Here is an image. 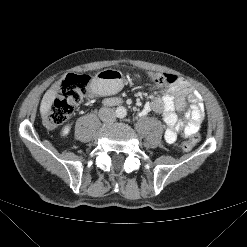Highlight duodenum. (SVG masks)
I'll return each instance as SVG.
<instances>
[{"mask_svg": "<svg viewBox=\"0 0 247 247\" xmlns=\"http://www.w3.org/2000/svg\"><path fill=\"white\" fill-rule=\"evenodd\" d=\"M121 103V99L119 98H108L105 100V104L107 105H118Z\"/></svg>", "mask_w": 247, "mask_h": 247, "instance_id": "1", "label": "duodenum"}]
</instances>
